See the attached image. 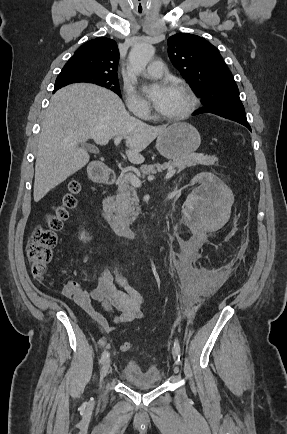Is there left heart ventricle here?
Segmentation results:
<instances>
[{"label": "left heart ventricle", "instance_id": "obj_1", "mask_svg": "<svg viewBox=\"0 0 287 434\" xmlns=\"http://www.w3.org/2000/svg\"><path fill=\"white\" fill-rule=\"evenodd\" d=\"M188 99L186 95L178 88L172 86L171 95L165 107L159 112L166 116L180 114L186 108Z\"/></svg>", "mask_w": 287, "mask_h": 434}]
</instances>
